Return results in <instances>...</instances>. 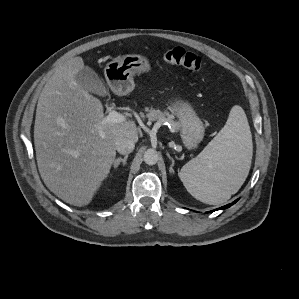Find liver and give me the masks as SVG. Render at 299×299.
Instances as JSON below:
<instances>
[{
  "mask_svg": "<svg viewBox=\"0 0 299 299\" xmlns=\"http://www.w3.org/2000/svg\"><path fill=\"white\" fill-rule=\"evenodd\" d=\"M84 67L81 57L60 66L38 100L34 145L40 176L58 198L88 205L108 177L118 142L138 141L132 120L107 123L101 101L82 89L75 75Z\"/></svg>",
  "mask_w": 299,
  "mask_h": 299,
  "instance_id": "6515ba94",
  "label": "liver"
}]
</instances>
